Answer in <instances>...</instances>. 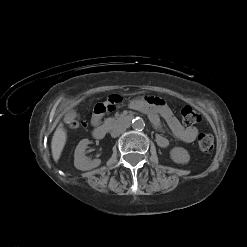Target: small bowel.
Returning <instances> with one entry per match:
<instances>
[{
	"label": "small bowel",
	"instance_id": "1",
	"mask_svg": "<svg viewBox=\"0 0 247 247\" xmlns=\"http://www.w3.org/2000/svg\"><path fill=\"white\" fill-rule=\"evenodd\" d=\"M122 103V99L118 96H110L106 103H98L95 106V112L92 116V124L98 125L102 115L111 113L113 110ZM131 108L145 113L154 127L159 128L161 125V118L165 120L169 129L179 141L185 143L193 142L198 136L196 127H184L179 120L175 117L169 106L159 98L136 99L130 104ZM156 142L160 147H167L169 141L161 134L156 136Z\"/></svg>",
	"mask_w": 247,
	"mask_h": 247
}]
</instances>
